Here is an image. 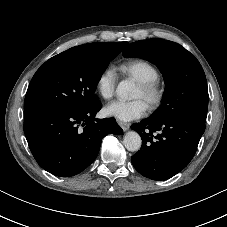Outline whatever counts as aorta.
I'll list each match as a JSON object with an SVG mask.
<instances>
[{
  "instance_id": "1",
  "label": "aorta",
  "mask_w": 227,
  "mask_h": 227,
  "mask_svg": "<svg viewBox=\"0 0 227 227\" xmlns=\"http://www.w3.org/2000/svg\"><path fill=\"white\" fill-rule=\"evenodd\" d=\"M135 91V86L130 81H121L116 89L117 95L124 100L131 99ZM125 148L131 152L138 151L142 145L140 135L135 131L126 133L123 139Z\"/></svg>"
}]
</instances>
